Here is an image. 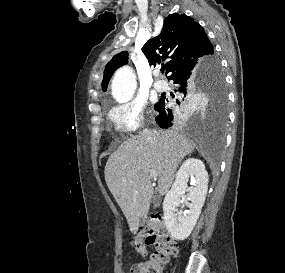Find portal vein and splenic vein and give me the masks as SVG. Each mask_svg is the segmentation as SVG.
Masks as SVG:
<instances>
[{
    "instance_id": "18ae733b",
    "label": "portal vein and splenic vein",
    "mask_w": 285,
    "mask_h": 273,
    "mask_svg": "<svg viewBox=\"0 0 285 273\" xmlns=\"http://www.w3.org/2000/svg\"><path fill=\"white\" fill-rule=\"evenodd\" d=\"M157 176H158V174H157L156 171H154V170H151V171H150V177H151V178H154V179H155V178H157Z\"/></svg>"
}]
</instances>
